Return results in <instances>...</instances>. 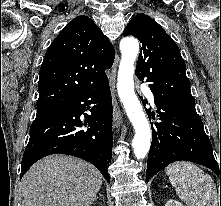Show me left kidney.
Wrapping results in <instances>:
<instances>
[{
    "label": "left kidney",
    "mask_w": 221,
    "mask_h": 206,
    "mask_svg": "<svg viewBox=\"0 0 221 206\" xmlns=\"http://www.w3.org/2000/svg\"><path fill=\"white\" fill-rule=\"evenodd\" d=\"M165 206H183L182 203H180L177 200L174 199H170L169 201H167V203L165 204Z\"/></svg>",
    "instance_id": "5707ae66"
}]
</instances>
